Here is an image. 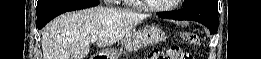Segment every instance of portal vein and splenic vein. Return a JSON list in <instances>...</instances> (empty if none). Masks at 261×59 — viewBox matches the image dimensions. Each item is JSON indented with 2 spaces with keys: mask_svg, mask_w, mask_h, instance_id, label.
<instances>
[{
  "mask_svg": "<svg viewBox=\"0 0 261 59\" xmlns=\"http://www.w3.org/2000/svg\"><path fill=\"white\" fill-rule=\"evenodd\" d=\"M97 38H98L97 36H92V37L90 38V41L94 43V42L97 41Z\"/></svg>",
  "mask_w": 261,
  "mask_h": 59,
  "instance_id": "portal-vein-and-splenic-vein-1",
  "label": "portal vein and splenic vein"
}]
</instances>
